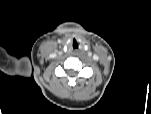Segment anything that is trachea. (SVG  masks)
<instances>
[{
    "mask_svg": "<svg viewBox=\"0 0 151 114\" xmlns=\"http://www.w3.org/2000/svg\"><path fill=\"white\" fill-rule=\"evenodd\" d=\"M73 48H74V49H77V48H78L77 42H73Z\"/></svg>",
    "mask_w": 151,
    "mask_h": 114,
    "instance_id": "1",
    "label": "trachea"
}]
</instances>
